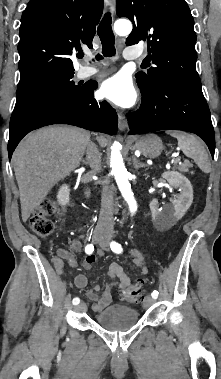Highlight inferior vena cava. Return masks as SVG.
Here are the masks:
<instances>
[{"label":"inferior vena cava","mask_w":221,"mask_h":379,"mask_svg":"<svg viewBox=\"0 0 221 379\" xmlns=\"http://www.w3.org/2000/svg\"><path fill=\"white\" fill-rule=\"evenodd\" d=\"M86 154L88 164L90 165L92 172H99L101 167V153L99 152L97 146L90 142L88 144ZM113 205V192L108 186H104L101 197V210L97 224L98 230H113Z\"/></svg>","instance_id":"obj_1"}]
</instances>
